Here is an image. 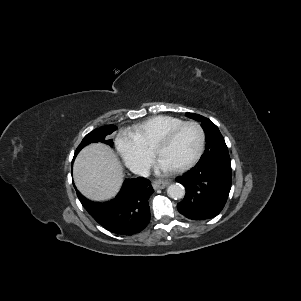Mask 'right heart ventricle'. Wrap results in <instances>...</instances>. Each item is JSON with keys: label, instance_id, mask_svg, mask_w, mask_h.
<instances>
[{"label": "right heart ventricle", "instance_id": "right-heart-ventricle-1", "mask_svg": "<svg viewBox=\"0 0 301 301\" xmlns=\"http://www.w3.org/2000/svg\"><path fill=\"white\" fill-rule=\"evenodd\" d=\"M182 122L178 117L158 115L135 124L128 132L148 149L160 135Z\"/></svg>", "mask_w": 301, "mask_h": 301}]
</instances>
